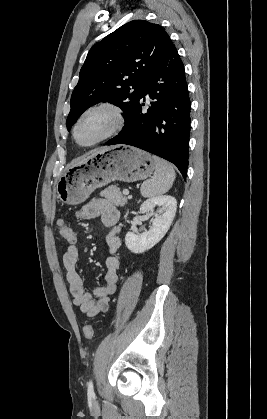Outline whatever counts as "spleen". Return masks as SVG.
<instances>
[{"label":"spleen","mask_w":267,"mask_h":419,"mask_svg":"<svg viewBox=\"0 0 267 419\" xmlns=\"http://www.w3.org/2000/svg\"><path fill=\"white\" fill-rule=\"evenodd\" d=\"M155 172L152 179L143 182L141 195L145 198L160 196L169 191L175 180L176 174L171 164L165 160L153 156Z\"/></svg>","instance_id":"3e777b00"}]
</instances>
